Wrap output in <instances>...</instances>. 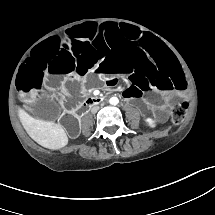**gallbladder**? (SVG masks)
Here are the masks:
<instances>
[{"label":"gallbladder","mask_w":215,"mask_h":215,"mask_svg":"<svg viewBox=\"0 0 215 215\" xmlns=\"http://www.w3.org/2000/svg\"><path fill=\"white\" fill-rule=\"evenodd\" d=\"M34 111L36 115L49 122L56 120L59 115L56 103L45 99H42L36 103Z\"/></svg>","instance_id":"bac80fb5"}]
</instances>
